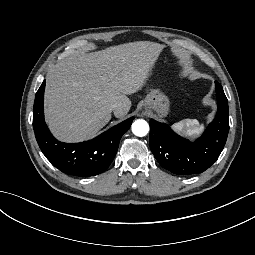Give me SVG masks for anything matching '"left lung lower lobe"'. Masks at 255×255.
Wrapping results in <instances>:
<instances>
[{
	"label": "left lung lower lobe",
	"mask_w": 255,
	"mask_h": 255,
	"mask_svg": "<svg viewBox=\"0 0 255 255\" xmlns=\"http://www.w3.org/2000/svg\"><path fill=\"white\" fill-rule=\"evenodd\" d=\"M218 110L215 119L195 142L178 136L166 124L149 121V145L159 164L177 175H192L208 169L224 148L229 131L228 101L216 81Z\"/></svg>",
	"instance_id": "obj_1"
}]
</instances>
